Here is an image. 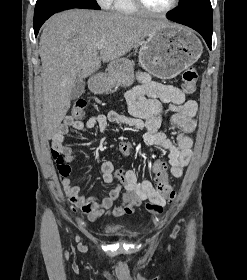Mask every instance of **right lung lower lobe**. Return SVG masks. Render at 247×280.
I'll return each mask as SVG.
<instances>
[{"label":"right lung lower lobe","mask_w":247,"mask_h":280,"mask_svg":"<svg viewBox=\"0 0 247 280\" xmlns=\"http://www.w3.org/2000/svg\"><path fill=\"white\" fill-rule=\"evenodd\" d=\"M43 23H39V24H34V32H35V36L38 34V31L41 27Z\"/></svg>","instance_id":"right-lung-lower-lobe-1"}]
</instances>
